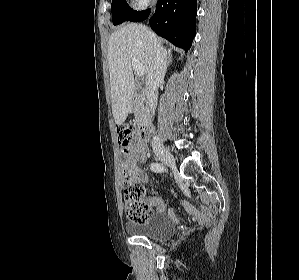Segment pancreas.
I'll return each mask as SVG.
<instances>
[{
    "instance_id": "1",
    "label": "pancreas",
    "mask_w": 299,
    "mask_h": 280,
    "mask_svg": "<svg viewBox=\"0 0 299 280\" xmlns=\"http://www.w3.org/2000/svg\"><path fill=\"white\" fill-rule=\"evenodd\" d=\"M134 113H135L136 123L138 125H141L145 117L146 108L144 106L143 100L140 97L134 100Z\"/></svg>"
}]
</instances>
